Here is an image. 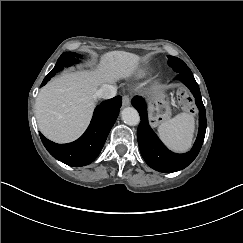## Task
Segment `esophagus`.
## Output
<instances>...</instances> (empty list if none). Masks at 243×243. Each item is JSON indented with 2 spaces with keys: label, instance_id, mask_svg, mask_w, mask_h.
Instances as JSON below:
<instances>
[{
  "label": "esophagus",
  "instance_id": "34e87169",
  "mask_svg": "<svg viewBox=\"0 0 243 243\" xmlns=\"http://www.w3.org/2000/svg\"><path fill=\"white\" fill-rule=\"evenodd\" d=\"M130 105V98L128 95H124L123 96V106L126 107V106H129Z\"/></svg>",
  "mask_w": 243,
  "mask_h": 243
}]
</instances>
